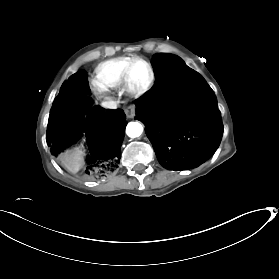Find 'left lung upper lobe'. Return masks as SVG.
<instances>
[{
	"label": "left lung upper lobe",
	"mask_w": 279,
	"mask_h": 279,
	"mask_svg": "<svg viewBox=\"0 0 279 279\" xmlns=\"http://www.w3.org/2000/svg\"><path fill=\"white\" fill-rule=\"evenodd\" d=\"M151 63L156 81L153 88L145 94L149 98L168 94L181 82L183 76L193 72L180 57L172 54H155Z\"/></svg>",
	"instance_id": "left-lung-upper-lobe-1"
}]
</instances>
